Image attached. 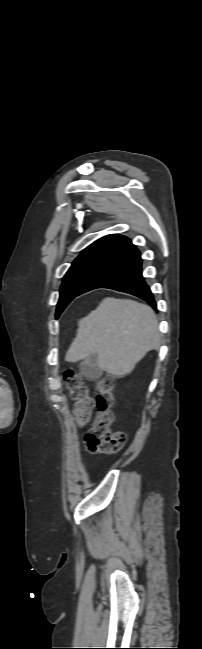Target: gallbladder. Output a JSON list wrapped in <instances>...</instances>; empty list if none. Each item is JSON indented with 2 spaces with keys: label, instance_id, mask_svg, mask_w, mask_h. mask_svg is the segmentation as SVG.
Returning <instances> with one entry per match:
<instances>
[{
  "label": "gallbladder",
  "instance_id": "obj_1",
  "mask_svg": "<svg viewBox=\"0 0 202 649\" xmlns=\"http://www.w3.org/2000/svg\"><path fill=\"white\" fill-rule=\"evenodd\" d=\"M80 369L84 376L89 380H97L102 375V370L97 366V355L91 354L89 363L83 360L80 363Z\"/></svg>",
  "mask_w": 202,
  "mask_h": 649
}]
</instances>
